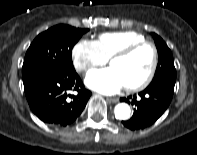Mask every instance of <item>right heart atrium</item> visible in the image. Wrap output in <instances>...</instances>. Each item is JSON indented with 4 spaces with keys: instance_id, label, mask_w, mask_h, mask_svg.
Returning a JSON list of instances; mask_svg holds the SVG:
<instances>
[{
    "instance_id": "d8ad5b80",
    "label": "right heart atrium",
    "mask_w": 197,
    "mask_h": 155,
    "mask_svg": "<svg viewBox=\"0 0 197 155\" xmlns=\"http://www.w3.org/2000/svg\"><path fill=\"white\" fill-rule=\"evenodd\" d=\"M72 59L75 69L86 74L97 66L107 63L108 58L102 52L95 40L81 39L72 49Z\"/></svg>"
}]
</instances>
